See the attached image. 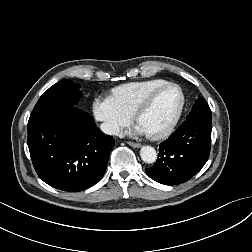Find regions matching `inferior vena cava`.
Segmentation results:
<instances>
[{"instance_id": "inferior-vena-cava-1", "label": "inferior vena cava", "mask_w": 252, "mask_h": 252, "mask_svg": "<svg viewBox=\"0 0 252 252\" xmlns=\"http://www.w3.org/2000/svg\"><path fill=\"white\" fill-rule=\"evenodd\" d=\"M101 131L108 135H120V128L118 125H114L111 123H102L100 125Z\"/></svg>"}]
</instances>
